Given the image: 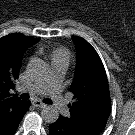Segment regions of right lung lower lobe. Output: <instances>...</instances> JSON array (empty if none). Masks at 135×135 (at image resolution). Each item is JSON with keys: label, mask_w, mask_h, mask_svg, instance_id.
Returning <instances> with one entry per match:
<instances>
[{"label": "right lung lower lobe", "mask_w": 135, "mask_h": 135, "mask_svg": "<svg viewBox=\"0 0 135 135\" xmlns=\"http://www.w3.org/2000/svg\"><path fill=\"white\" fill-rule=\"evenodd\" d=\"M30 101H22L21 104L0 109V135H14L24 114L29 109Z\"/></svg>", "instance_id": "right-lung-lower-lobe-1"}]
</instances>
